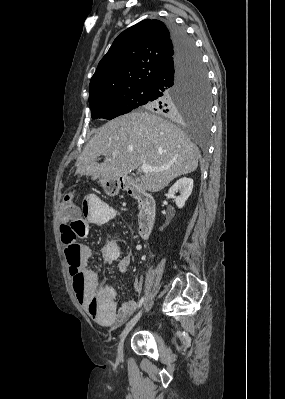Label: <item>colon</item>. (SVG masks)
<instances>
[{
	"label": "colon",
	"mask_w": 285,
	"mask_h": 399,
	"mask_svg": "<svg viewBox=\"0 0 285 399\" xmlns=\"http://www.w3.org/2000/svg\"><path fill=\"white\" fill-rule=\"evenodd\" d=\"M110 192L115 190L111 187ZM81 204L76 202L74 192H69L59 207V218L64 222L60 225L61 240L65 244V254L71 264L70 274L72 277V289L74 292H81L84 287V280L82 271L79 267V248L77 241L80 238L79 232L83 227V222L80 218ZM94 307L100 306V302L93 303Z\"/></svg>",
	"instance_id": "obj_1"
}]
</instances>
